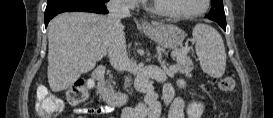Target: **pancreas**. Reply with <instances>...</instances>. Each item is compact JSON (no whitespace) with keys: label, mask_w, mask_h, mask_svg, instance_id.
Wrapping results in <instances>:
<instances>
[{"label":"pancreas","mask_w":273,"mask_h":118,"mask_svg":"<svg viewBox=\"0 0 273 118\" xmlns=\"http://www.w3.org/2000/svg\"><path fill=\"white\" fill-rule=\"evenodd\" d=\"M186 49V50H185ZM188 52H190V48L186 47L183 49H180L178 54H177V64L174 66H170L169 69H166L164 63L162 64V67L166 70V72L170 75H173L174 73H181L184 74L185 76H191V71L193 70V62L191 60V58L187 55ZM113 83L114 81L112 80V78L109 79V83ZM111 91L113 90V86L109 85Z\"/></svg>","instance_id":"cf45deb5"}]
</instances>
